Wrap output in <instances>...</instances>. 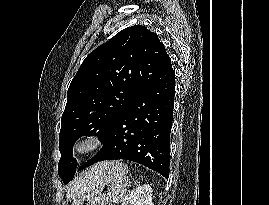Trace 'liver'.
<instances>
[{
    "label": "liver",
    "mask_w": 269,
    "mask_h": 205,
    "mask_svg": "<svg viewBox=\"0 0 269 205\" xmlns=\"http://www.w3.org/2000/svg\"><path fill=\"white\" fill-rule=\"evenodd\" d=\"M113 164L114 162H100L79 174L67 188V199H75L91 190L98 175Z\"/></svg>",
    "instance_id": "obj_1"
}]
</instances>
